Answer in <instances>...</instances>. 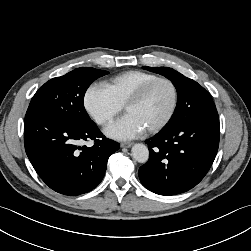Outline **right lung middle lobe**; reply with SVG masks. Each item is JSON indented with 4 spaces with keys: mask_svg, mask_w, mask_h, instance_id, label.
Returning <instances> with one entry per match:
<instances>
[{
    "mask_svg": "<svg viewBox=\"0 0 251 251\" xmlns=\"http://www.w3.org/2000/svg\"><path fill=\"white\" fill-rule=\"evenodd\" d=\"M107 74L104 70L83 67L53 78L35 93L27 112H41L74 126H90L94 122L84 108V95L92 82Z\"/></svg>",
    "mask_w": 251,
    "mask_h": 251,
    "instance_id": "1",
    "label": "right lung middle lobe"
}]
</instances>
